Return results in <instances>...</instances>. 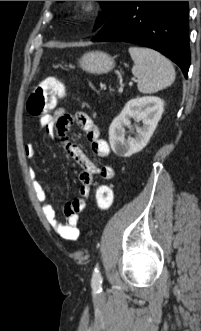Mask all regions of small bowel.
Segmentation results:
<instances>
[{
	"label": "small bowel",
	"mask_w": 201,
	"mask_h": 331,
	"mask_svg": "<svg viewBox=\"0 0 201 331\" xmlns=\"http://www.w3.org/2000/svg\"><path fill=\"white\" fill-rule=\"evenodd\" d=\"M40 125L51 137L61 140L66 153L81 167V186L79 197L68 202L64 208L65 222L61 223L52 205L47 203L46 191L38 178V173L34 168L29 169L34 192L38 200L42 203V210L46 220L51 227L66 240H76L79 236V215L86 206V200L91 194V184L94 175H99L104 180L114 177V169L111 165L103 163L97 165L91 161L78 145L67 138V132L73 125L78 126L86 134L94 155L106 159L110 154L108 143L100 137V131L94 121L84 112L69 114L64 108H58L53 114L43 115ZM24 152L26 158L33 160L36 157V150L33 144L25 145Z\"/></svg>",
	"instance_id": "1"
}]
</instances>
